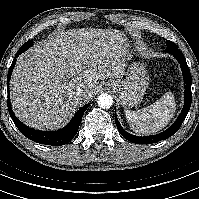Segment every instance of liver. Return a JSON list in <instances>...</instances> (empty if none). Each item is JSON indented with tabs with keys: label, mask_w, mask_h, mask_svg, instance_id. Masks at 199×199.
<instances>
[{
	"label": "liver",
	"mask_w": 199,
	"mask_h": 199,
	"mask_svg": "<svg viewBox=\"0 0 199 199\" xmlns=\"http://www.w3.org/2000/svg\"><path fill=\"white\" fill-rule=\"evenodd\" d=\"M130 52L120 30L57 32L17 59L10 81L15 115L36 129L64 126L93 97L99 80L123 77ZM77 88L84 90L82 98L74 96Z\"/></svg>",
	"instance_id": "obj_1"
}]
</instances>
